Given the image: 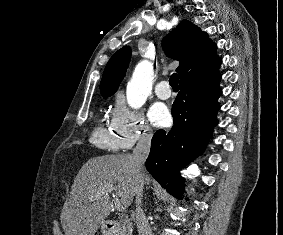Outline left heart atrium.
<instances>
[{
	"label": "left heart atrium",
	"instance_id": "obj_1",
	"mask_svg": "<svg viewBox=\"0 0 283 235\" xmlns=\"http://www.w3.org/2000/svg\"><path fill=\"white\" fill-rule=\"evenodd\" d=\"M149 119L157 127H163L169 124L170 114L166 106L162 104H156L149 110Z\"/></svg>",
	"mask_w": 283,
	"mask_h": 235
}]
</instances>
